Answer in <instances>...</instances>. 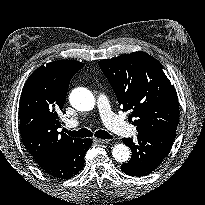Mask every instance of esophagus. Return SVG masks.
I'll return each mask as SVG.
<instances>
[{
    "mask_svg": "<svg viewBox=\"0 0 205 205\" xmlns=\"http://www.w3.org/2000/svg\"><path fill=\"white\" fill-rule=\"evenodd\" d=\"M98 143H101V144H107L109 143L110 140L108 139H96Z\"/></svg>",
    "mask_w": 205,
    "mask_h": 205,
    "instance_id": "1",
    "label": "esophagus"
}]
</instances>
